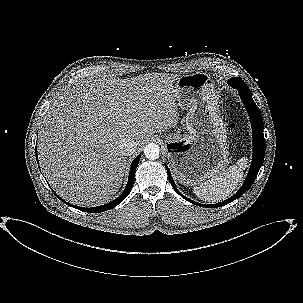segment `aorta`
Wrapping results in <instances>:
<instances>
[{"label":"aorta","instance_id":"aorta-1","mask_svg":"<svg viewBox=\"0 0 303 303\" xmlns=\"http://www.w3.org/2000/svg\"><path fill=\"white\" fill-rule=\"evenodd\" d=\"M144 154L145 157L150 160L159 158V154H160L159 146L155 143H149L144 148Z\"/></svg>","mask_w":303,"mask_h":303}]
</instances>
